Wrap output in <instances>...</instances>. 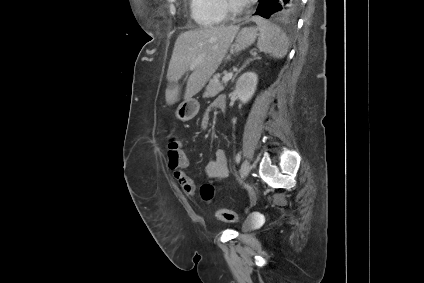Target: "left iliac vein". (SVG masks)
Returning a JSON list of instances; mask_svg holds the SVG:
<instances>
[{"label":"left iliac vein","instance_id":"4c4485c4","mask_svg":"<svg viewBox=\"0 0 424 283\" xmlns=\"http://www.w3.org/2000/svg\"><path fill=\"white\" fill-rule=\"evenodd\" d=\"M249 172H250V165H249V162L245 160L242 163L241 170H240L241 178L245 179L248 176Z\"/></svg>","mask_w":424,"mask_h":283}]
</instances>
